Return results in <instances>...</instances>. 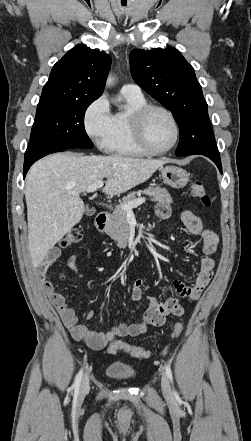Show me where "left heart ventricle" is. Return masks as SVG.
<instances>
[{
	"instance_id": "obj_1",
	"label": "left heart ventricle",
	"mask_w": 251,
	"mask_h": 441,
	"mask_svg": "<svg viewBox=\"0 0 251 441\" xmlns=\"http://www.w3.org/2000/svg\"><path fill=\"white\" fill-rule=\"evenodd\" d=\"M145 133L149 144L155 149H165L174 139V127L169 117L161 111H153L147 117Z\"/></svg>"
}]
</instances>
